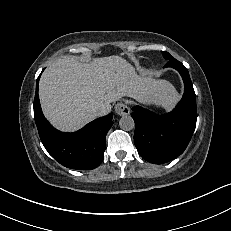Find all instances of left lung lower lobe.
I'll list each match as a JSON object with an SVG mask.
<instances>
[{
  "mask_svg": "<svg viewBox=\"0 0 231 231\" xmlns=\"http://www.w3.org/2000/svg\"><path fill=\"white\" fill-rule=\"evenodd\" d=\"M165 67L175 68L184 81L185 91L176 108L166 115H156L134 106L131 114L138 153L154 164L166 163L184 152L197 120L196 96L187 68L176 59L168 61Z\"/></svg>",
  "mask_w": 231,
  "mask_h": 231,
  "instance_id": "0a47b994",
  "label": "left lung lower lobe"
}]
</instances>
